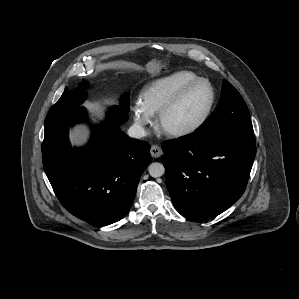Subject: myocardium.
<instances>
[{
  "mask_svg": "<svg viewBox=\"0 0 299 299\" xmlns=\"http://www.w3.org/2000/svg\"><path fill=\"white\" fill-rule=\"evenodd\" d=\"M200 84L207 85L210 90V101L201 118L191 126L182 129H175V130L167 129L164 126V120L167 114L179 103V101L190 89ZM215 102H216V92L213 85L208 80L204 78H198L192 82H189L186 85H184L181 89H179L176 92V94L161 108V110L158 113V119H157L158 128L163 133L171 137H185V136L192 135L196 133L198 130H200L206 124L213 111Z\"/></svg>",
  "mask_w": 299,
  "mask_h": 299,
  "instance_id": "obj_1",
  "label": "myocardium"
}]
</instances>
